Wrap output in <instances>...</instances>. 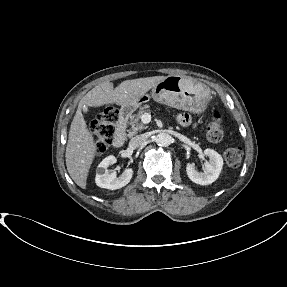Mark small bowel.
Returning a JSON list of instances; mask_svg holds the SVG:
<instances>
[{
  "instance_id": "c3829d8e",
  "label": "small bowel",
  "mask_w": 287,
  "mask_h": 287,
  "mask_svg": "<svg viewBox=\"0 0 287 287\" xmlns=\"http://www.w3.org/2000/svg\"><path fill=\"white\" fill-rule=\"evenodd\" d=\"M177 121L182 125L190 124V117L187 114H180L177 117Z\"/></svg>"
}]
</instances>
